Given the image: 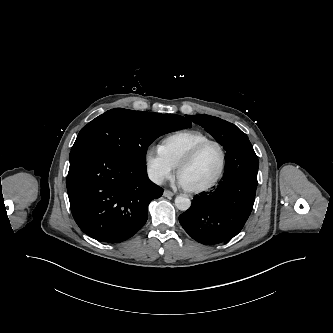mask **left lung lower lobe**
<instances>
[{
    "mask_svg": "<svg viewBox=\"0 0 333 333\" xmlns=\"http://www.w3.org/2000/svg\"><path fill=\"white\" fill-rule=\"evenodd\" d=\"M259 161L248 139L225 154L222 181L214 192L196 195L179 216L184 230L197 242L213 245L236 236L253 209Z\"/></svg>",
    "mask_w": 333,
    "mask_h": 333,
    "instance_id": "1",
    "label": "left lung lower lobe"
}]
</instances>
